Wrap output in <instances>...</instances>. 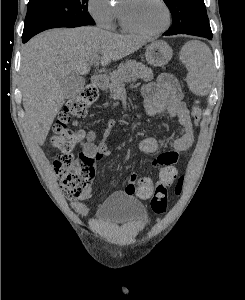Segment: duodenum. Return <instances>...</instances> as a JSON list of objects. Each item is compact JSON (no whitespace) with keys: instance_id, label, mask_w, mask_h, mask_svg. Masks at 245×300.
I'll return each mask as SVG.
<instances>
[{"instance_id":"410a0bca","label":"duodenum","mask_w":245,"mask_h":300,"mask_svg":"<svg viewBox=\"0 0 245 300\" xmlns=\"http://www.w3.org/2000/svg\"><path fill=\"white\" fill-rule=\"evenodd\" d=\"M92 84L98 89H104L107 84L106 77L102 74H96L92 77Z\"/></svg>"}]
</instances>
